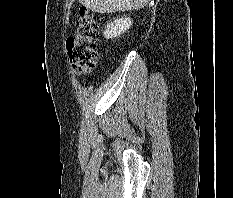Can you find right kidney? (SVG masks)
<instances>
[{
    "label": "right kidney",
    "mask_w": 233,
    "mask_h": 198,
    "mask_svg": "<svg viewBox=\"0 0 233 198\" xmlns=\"http://www.w3.org/2000/svg\"><path fill=\"white\" fill-rule=\"evenodd\" d=\"M132 25V20L129 17H121L115 19L112 23L107 24L103 35L107 39H112L123 34Z\"/></svg>",
    "instance_id": "right-kidney-1"
}]
</instances>
